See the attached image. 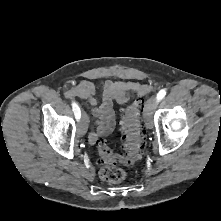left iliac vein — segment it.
Listing matches in <instances>:
<instances>
[{
  "label": "left iliac vein",
  "mask_w": 221,
  "mask_h": 221,
  "mask_svg": "<svg viewBox=\"0 0 221 221\" xmlns=\"http://www.w3.org/2000/svg\"><path fill=\"white\" fill-rule=\"evenodd\" d=\"M157 99L152 96L151 98H149L145 104L144 107V121H145V125L148 129H152L153 128V111L157 105Z\"/></svg>",
  "instance_id": "obj_1"
}]
</instances>
